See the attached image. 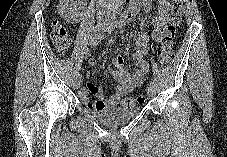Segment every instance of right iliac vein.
Masks as SVG:
<instances>
[{
  "label": "right iliac vein",
  "mask_w": 227,
  "mask_h": 157,
  "mask_svg": "<svg viewBox=\"0 0 227 157\" xmlns=\"http://www.w3.org/2000/svg\"><path fill=\"white\" fill-rule=\"evenodd\" d=\"M81 84H82V80L79 76H77L73 81V87L78 89L80 88Z\"/></svg>",
  "instance_id": "1"
}]
</instances>
